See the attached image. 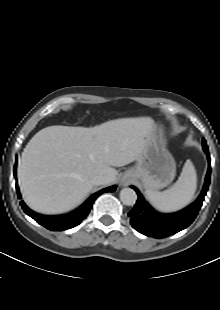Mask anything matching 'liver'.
<instances>
[{
	"instance_id": "1",
	"label": "liver",
	"mask_w": 220,
	"mask_h": 310,
	"mask_svg": "<svg viewBox=\"0 0 220 310\" xmlns=\"http://www.w3.org/2000/svg\"><path fill=\"white\" fill-rule=\"evenodd\" d=\"M155 130L150 117L122 118L85 127L49 126L28 142L18 165L23 198L34 211L58 214L76 207L98 174L115 182L121 167L137 160Z\"/></svg>"
}]
</instances>
